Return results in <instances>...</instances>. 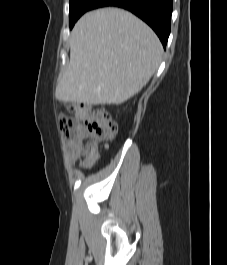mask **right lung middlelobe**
I'll return each mask as SVG.
<instances>
[{
  "instance_id": "1",
  "label": "right lung middle lobe",
  "mask_w": 227,
  "mask_h": 265,
  "mask_svg": "<svg viewBox=\"0 0 227 265\" xmlns=\"http://www.w3.org/2000/svg\"><path fill=\"white\" fill-rule=\"evenodd\" d=\"M97 0H70L69 25L72 28L79 17L92 9Z\"/></svg>"
}]
</instances>
